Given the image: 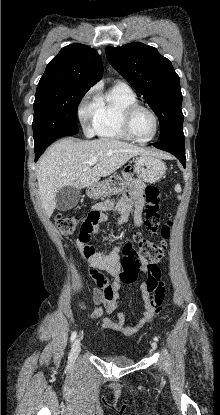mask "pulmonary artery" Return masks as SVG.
Masks as SVG:
<instances>
[{"label":"pulmonary artery","instance_id":"obj_1","mask_svg":"<svg viewBox=\"0 0 220 415\" xmlns=\"http://www.w3.org/2000/svg\"><path fill=\"white\" fill-rule=\"evenodd\" d=\"M116 86L124 89H130L129 85L123 81H117Z\"/></svg>","mask_w":220,"mask_h":415}]
</instances>
